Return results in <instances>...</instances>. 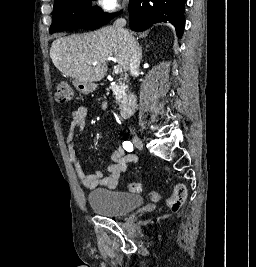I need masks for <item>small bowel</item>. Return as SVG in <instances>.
I'll use <instances>...</instances> for the list:
<instances>
[{
    "label": "small bowel",
    "mask_w": 256,
    "mask_h": 267,
    "mask_svg": "<svg viewBox=\"0 0 256 267\" xmlns=\"http://www.w3.org/2000/svg\"><path fill=\"white\" fill-rule=\"evenodd\" d=\"M87 116L88 108L86 105H80L72 112L66 138L69 147L70 160L73 164L76 174L80 178L81 183L85 188L95 189L98 186H102L108 190H114L117 188L122 174L126 172L128 165L136 164L138 159L134 154H127L123 148L119 147L112 153L110 157V163L107 167V176H104L99 170H96L92 173L85 172L79 159L77 138L86 126Z\"/></svg>",
    "instance_id": "small-bowel-1"
}]
</instances>
